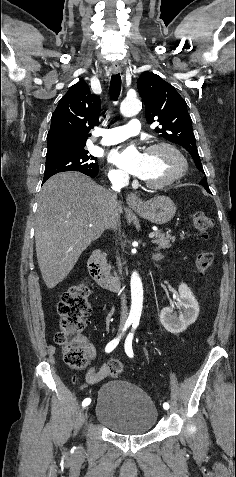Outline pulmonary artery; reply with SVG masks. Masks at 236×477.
Segmentation results:
<instances>
[{"label": "pulmonary artery", "mask_w": 236, "mask_h": 477, "mask_svg": "<svg viewBox=\"0 0 236 477\" xmlns=\"http://www.w3.org/2000/svg\"><path fill=\"white\" fill-rule=\"evenodd\" d=\"M141 131V123L138 119H131L128 124L120 127L100 129L97 133L102 135L101 144L113 145L138 134Z\"/></svg>", "instance_id": "obj_1"}]
</instances>
